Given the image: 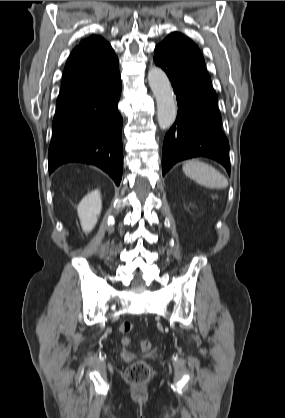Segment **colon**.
Wrapping results in <instances>:
<instances>
[{
	"mask_svg": "<svg viewBox=\"0 0 285 418\" xmlns=\"http://www.w3.org/2000/svg\"><path fill=\"white\" fill-rule=\"evenodd\" d=\"M133 324L129 321H124L119 325V331L122 334H128L133 330ZM129 338L122 339L123 345H128ZM139 348L142 351H148L150 349V343L147 340H142L139 343ZM151 367L144 360H137L131 364L125 371V379L131 385H140L147 382L151 376Z\"/></svg>",
	"mask_w": 285,
	"mask_h": 418,
	"instance_id": "colon-1",
	"label": "colon"
}]
</instances>
